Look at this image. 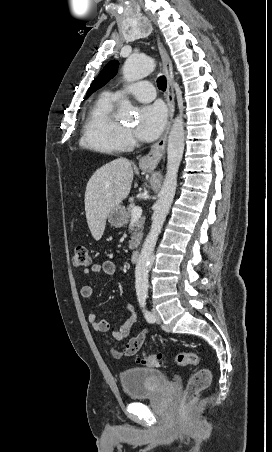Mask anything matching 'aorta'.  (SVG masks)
<instances>
[{
    "label": "aorta",
    "mask_w": 272,
    "mask_h": 452,
    "mask_svg": "<svg viewBox=\"0 0 272 452\" xmlns=\"http://www.w3.org/2000/svg\"><path fill=\"white\" fill-rule=\"evenodd\" d=\"M154 65L153 59L132 54L124 63V78L128 82L137 81L150 74L154 69ZM134 110V107L128 100H122L118 111V117L120 119H130ZM184 141V122L181 117L177 116L173 121L168 137L167 171L165 179L159 193V198L154 206L151 229L145 239L135 267V288L137 296H145L148 292V266L158 236L175 196L177 173L183 156Z\"/></svg>",
    "instance_id": "1"
}]
</instances>
